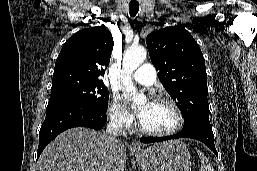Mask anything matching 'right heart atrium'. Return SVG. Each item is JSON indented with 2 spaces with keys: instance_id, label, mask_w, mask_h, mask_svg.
I'll list each match as a JSON object with an SVG mask.
<instances>
[{
  "instance_id": "right-heart-atrium-1",
  "label": "right heart atrium",
  "mask_w": 257,
  "mask_h": 171,
  "mask_svg": "<svg viewBox=\"0 0 257 171\" xmlns=\"http://www.w3.org/2000/svg\"><path fill=\"white\" fill-rule=\"evenodd\" d=\"M108 114L111 122L120 129L131 128L134 118L122 105L118 96H114L109 104Z\"/></svg>"
}]
</instances>
